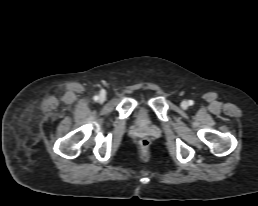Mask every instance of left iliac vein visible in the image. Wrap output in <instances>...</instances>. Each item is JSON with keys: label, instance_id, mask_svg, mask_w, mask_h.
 <instances>
[{"label": "left iliac vein", "instance_id": "1", "mask_svg": "<svg viewBox=\"0 0 258 206\" xmlns=\"http://www.w3.org/2000/svg\"><path fill=\"white\" fill-rule=\"evenodd\" d=\"M181 107H182L183 109H186V108L188 107V102H187V101H183V102L181 103Z\"/></svg>", "mask_w": 258, "mask_h": 206}]
</instances>
